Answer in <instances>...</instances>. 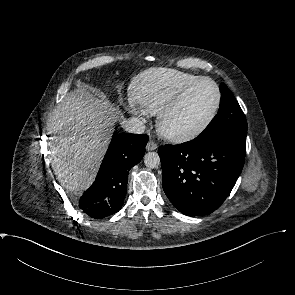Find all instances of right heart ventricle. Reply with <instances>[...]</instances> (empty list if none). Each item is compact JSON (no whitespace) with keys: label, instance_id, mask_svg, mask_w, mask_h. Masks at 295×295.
Listing matches in <instances>:
<instances>
[{"label":"right heart ventricle","instance_id":"obj_1","mask_svg":"<svg viewBox=\"0 0 295 295\" xmlns=\"http://www.w3.org/2000/svg\"><path fill=\"white\" fill-rule=\"evenodd\" d=\"M197 77L167 68L145 71L136 79L138 101L151 115H156L182 87Z\"/></svg>","mask_w":295,"mask_h":295}]
</instances>
